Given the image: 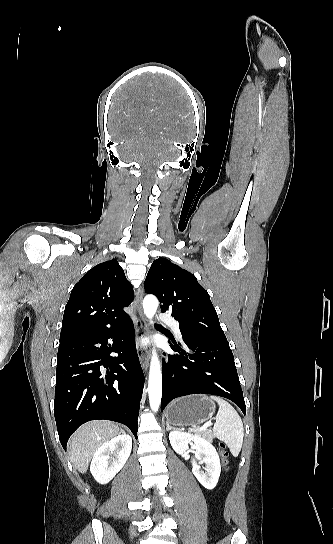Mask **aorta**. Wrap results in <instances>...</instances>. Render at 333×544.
Instances as JSON below:
<instances>
[{"instance_id":"obj_1","label":"aorta","mask_w":333,"mask_h":544,"mask_svg":"<svg viewBox=\"0 0 333 544\" xmlns=\"http://www.w3.org/2000/svg\"><path fill=\"white\" fill-rule=\"evenodd\" d=\"M159 302L154 295H146L143 300V310L146 317L152 320L157 311ZM148 395L150 408L153 412H157L160 407L162 396V372L160 361L157 357L155 349L152 351V358L149 370Z\"/></svg>"}]
</instances>
